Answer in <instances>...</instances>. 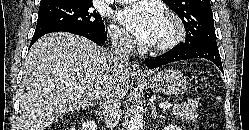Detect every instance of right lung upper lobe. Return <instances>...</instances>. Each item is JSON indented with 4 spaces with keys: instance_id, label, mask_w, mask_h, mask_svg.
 <instances>
[{
    "instance_id": "cb5924a9",
    "label": "right lung upper lobe",
    "mask_w": 249,
    "mask_h": 130,
    "mask_svg": "<svg viewBox=\"0 0 249 130\" xmlns=\"http://www.w3.org/2000/svg\"><path fill=\"white\" fill-rule=\"evenodd\" d=\"M66 0H41L40 1V6H50L58 3H62Z\"/></svg>"
}]
</instances>
